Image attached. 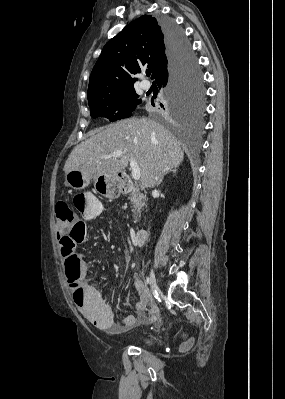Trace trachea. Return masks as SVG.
<instances>
[{
	"instance_id": "obj_1",
	"label": "trachea",
	"mask_w": 285,
	"mask_h": 399,
	"mask_svg": "<svg viewBox=\"0 0 285 399\" xmlns=\"http://www.w3.org/2000/svg\"><path fill=\"white\" fill-rule=\"evenodd\" d=\"M146 74H147V76H150V75H151V70H150V69L147 70V71H146Z\"/></svg>"
}]
</instances>
